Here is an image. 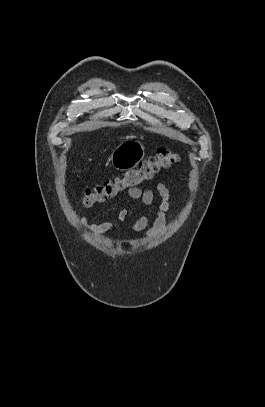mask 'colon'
Wrapping results in <instances>:
<instances>
[{"mask_svg":"<svg viewBox=\"0 0 265 407\" xmlns=\"http://www.w3.org/2000/svg\"><path fill=\"white\" fill-rule=\"evenodd\" d=\"M178 161L179 156L176 153L161 149L156 155L143 160L136 168L128 170L123 176L87 188L82 202L87 207L106 202L127 189L138 187L153 179L160 171L170 168Z\"/></svg>","mask_w":265,"mask_h":407,"instance_id":"obj_1","label":"colon"}]
</instances>
